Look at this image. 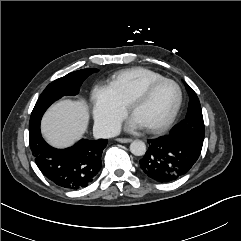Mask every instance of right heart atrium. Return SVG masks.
<instances>
[{"instance_id": "right-heart-atrium-1", "label": "right heart atrium", "mask_w": 241, "mask_h": 241, "mask_svg": "<svg viewBox=\"0 0 241 241\" xmlns=\"http://www.w3.org/2000/svg\"><path fill=\"white\" fill-rule=\"evenodd\" d=\"M92 100L97 129L104 135L113 134L124 119L127 106L110 85H97L93 90Z\"/></svg>"}]
</instances>
